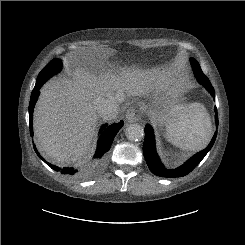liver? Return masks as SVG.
<instances>
[{
	"instance_id": "obj_1",
	"label": "liver",
	"mask_w": 245,
	"mask_h": 245,
	"mask_svg": "<svg viewBox=\"0 0 245 245\" xmlns=\"http://www.w3.org/2000/svg\"><path fill=\"white\" fill-rule=\"evenodd\" d=\"M179 90L165 72L122 68L90 71L76 68L71 79L61 78L41 90L34 110V136L39 150L58 164L79 161L95 134L100 98L122 103L127 96H157Z\"/></svg>"
}]
</instances>
